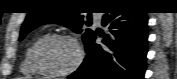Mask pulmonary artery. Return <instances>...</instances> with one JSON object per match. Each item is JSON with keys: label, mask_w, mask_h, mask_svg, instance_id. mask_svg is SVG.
Wrapping results in <instances>:
<instances>
[{"label": "pulmonary artery", "mask_w": 177, "mask_h": 79, "mask_svg": "<svg viewBox=\"0 0 177 79\" xmlns=\"http://www.w3.org/2000/svg\"><path fill=\"white\" fill-rule=\"evenodd\" d=\"M95 20H96V22H97L98 24L101 23V18H100L99 16H96V17H95Z\"/></svg>", "instance_id": "e3ab8cb5"}]
</instances>
